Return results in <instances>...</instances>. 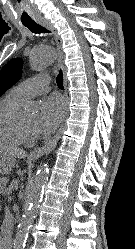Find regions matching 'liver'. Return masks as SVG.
<instances>
[{
    "instance_id": "6515ba94",
    "label": "liver",
    "mask_w": 135,
    "mask_h": 249,
    "mask_svg": "<svg viewBox=\"0 0 135 249\" xmlns=\"http://www.w3.org/2000/svg\"><path fill=\"white\" fill-rule=\"evenodd\" d=\"M0 151H3L4 153L15 158L27 157V153L24 150L13 146L0 145Z\"/></svg>"
}]
</instances>
